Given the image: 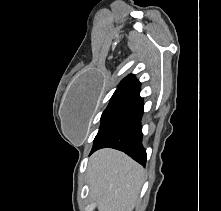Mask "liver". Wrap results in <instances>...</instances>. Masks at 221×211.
<instances>
[{"label":"liver","instance_id":"6515ba94","mask_svg":"<svg viewBox=\"0 0 221 211\" xmlns=\"http://www.w3.org/2000/svg\"><path fill=\"white\" fill-rule=\"evenodd\" d=\"M144 170L121 151L105 148L89 160L90 193L98 211H132L138 198Z\"/></svg>","mask_w":221,"mask_h":211}]
</instances>
